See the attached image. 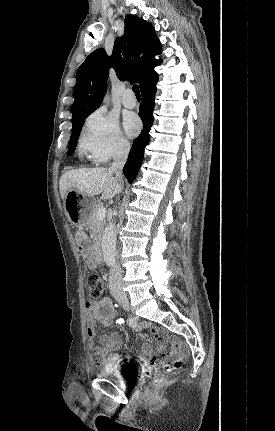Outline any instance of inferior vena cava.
Listing matches in <instances>:
<instances>
[{
    "instance_id": "602c4592",
    "label": "inferior vena cava",
    "mask_w": 275,
    "mask_h": 431,
    "mask_svg": "<svg viewBox=\"0 0 275 431\" xmlns=\"http://www.w3.org/2000/svg\"><path fill=\"white\" fill-rule=\"evenodd\" d=\"M130 151V145L128 143L121 144L113 157V163L111 165V171L114 172L116 178L123 182L122 170L126 163L128 154ZM109 285L111 291L122 289V270L120 265L117 263L112 267L111 274L109 277Z\"/></svg>"
}]
</instances>
